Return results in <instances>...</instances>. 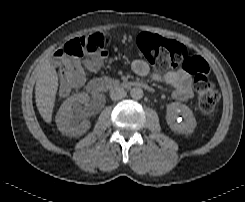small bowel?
<instances>
[{"label": "small bowel", "instance_id": "1", "mask_svg": "<svg viewBox=\"0 0 245 202\" xmlns=\"http://www.w3.org/2000/svg\"><path fill=\"white\" fill-rule=\"evenodd\" d=\"M100 69L99 63H91L90 71L98 72ZM132 71L141 77H150L153 81L164 82L172 87V97L179 101H187L192 98V79L191 76L184 70L178 69L167 72L164 75L152 72L149 65L143 60H135L132 63ZM82 84L80 81L79 85ZM70 86L67 84L59 85V92L67 94L70 91Z\"/></svg>", "mask_w": 245, "mask_h": 202}]
</instances>
